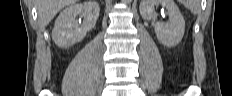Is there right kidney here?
Here are the masks:
<instances>
[{
    "mask_svg": "<svg viewBox=\"0 0 232 96\" xmlns=\"http://www.w3.org/2000/svg\"><path fill=\"white\" fill-rule=\"evenodd\" d=\"M100 8L97 2L89 0L82 4H71L57 17L52 31V39L59 47L66 48L80 42L91 30L99 17ZM85 16L79 27L77 16Z\"/></svg>",
    "mask_w": 232,
    "mask_h": 96,
    "instance_id": "ca27d5eb",
    "label": "right kidney"
}]
</instances>
